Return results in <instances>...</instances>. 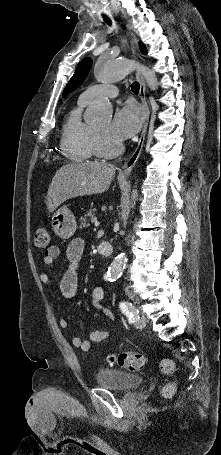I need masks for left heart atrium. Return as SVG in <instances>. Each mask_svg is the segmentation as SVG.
I'll list each match as a JSON object with an SVG mask.
<instances>
[{"label":"left heart atrium","instance_id":"1","mask_svg":"<svg viewBox=\"0 0 221 455\" xmlns=\"http://www.w3.org/2000/svg\"><path fill=\"white\" fill-rule=\"evenodd\" d=\"M142 111L133 104L119 107L110 124V135L117 141L125 140L138 132L142 124Z\"/></svg>","mask_w":221,"mask_h":455}]
</instances>
